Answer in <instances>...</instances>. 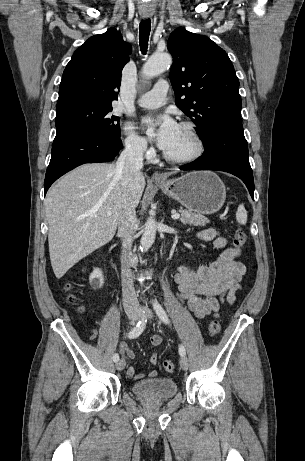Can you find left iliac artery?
<instances>
[{
    "label": "left iliac artery",
    "instance_id": "obj_1",
    "mask_svg": "<svg viewBox=\"0 0 305 461\" xmlns=\"http://www.w3.org/2000/svg\"><path fill=\"white\" fill-rule=\"evenodd\" d=\"M154 309L156 311L157 316L161 319V321H163L165 324H169L170 320L168 318V315L158 302H154ZM179 353L181 356H184L186 354V351L183 345L179 346Z\"/></svg>",
    "mask_w": 305,
    "mask_h": 461
}]
</instances>
